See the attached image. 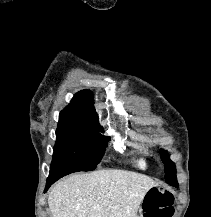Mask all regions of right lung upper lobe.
<instances>
[{"label": "right lung upper lobe", "mask_w": 211, "mask_h": 217, "mask_svg": "<svg viewBox=\"0 0 211 217\" xmlns=\"http://www.w3.org/2000/svg\"><path fill=\"white\" fill-rule=\"evenodd\" d=\"M58 125L89 126L103 130L93 106L92 92L89 90L78 92L60 113Z\"/></svg>", "instance_id": "right-lung-upper-lobe-1"}]
</instances>
